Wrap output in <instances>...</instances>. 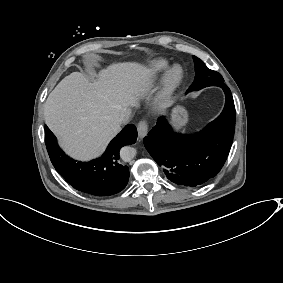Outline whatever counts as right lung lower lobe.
<instances>
[{
	"instance_id": "1",
	"label": "right lung lower lobe",
	"mask_w": 283,
	"mask_h": 283,
	"mask_svg": "<svg viewBox=\"0 0 283 283\" xmlns=\"http://www.w3.org/2000/svg\"><path fill=\"white\" fill-rule=\"evenodd\" d=\"M137 139L135 125H127L108 145L105 153L89 162H76L58 146L55 135L45 126V143L57 172L75 189L95 196H109L123 190L129 169L119 163L120 149Z\"/></svg>"
}]
</instances>
